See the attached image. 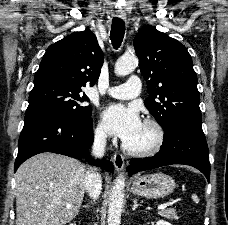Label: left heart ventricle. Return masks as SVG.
<instances>
[{"label":"left heart ventricle","instance_id":"obj_1","mask_svg":"<svg viewBox=\"0 0 228 225\" xmlns=\"http://www.w3.org/2000/svg\"><path fill=\"white\" fill-rule=\"evenodd\" d=\"M155 141L154 133L151 129L143 125L140 134L131 142H128L133 147L146 148L151 146Z\"/></svg>","mask_w":228,"mask_h":225}]
</instances>
